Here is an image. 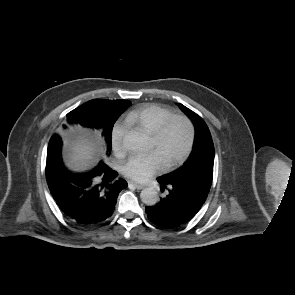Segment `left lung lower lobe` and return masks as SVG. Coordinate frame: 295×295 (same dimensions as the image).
<instances>
[{
	"instance_id": "obj_1",
	"label": "left lung lower lobe",
	"mask_w": 295,
	"mask_h": 295,
	"mask_svg": "<svg viewBox=\"0 0 295 295\" xmlns=\"http://www.w3.org/2000/svg\"><path fill=\"white\" fill-rule=\"evenodd\" d=\"M166 197L154 206L146 207L149 220L162 228H174L191 220L200 210L209 193L211 183L200 180L186 183L180 180L157 178Z\"/></svg>"
}]
</instances>
